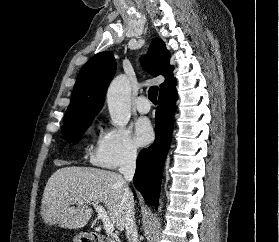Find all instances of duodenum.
Instances as JSON below:
<instances>
[{
    "mask_svg": "<svg viewBox=\"0 0 279 242\" xmlns=\"http://www.w3.org/2000/svg\"><path fill=\"white\" fill-rule=\"evenodd\" d=\"M94 242H103V239L100 236H94Z\"/></svg>",
    "mask_w": 279,
    "mask_h": 242,
    "instance_id": "1",
    "label": "duodenum"
}]
</instances>
